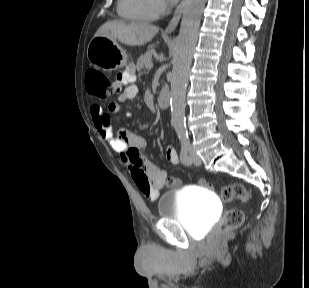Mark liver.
Returning a JSON list of instances; mask_svg holds the SVG:
<instances>
[{
    "label": "liver",
    "mask_w": 309,
    "mask_h": 288,
    "mask_svg": "<svg viewBox=\"0 0 309 288\" xmlns=\"http://www.w3.org/2000/svg\"><path fill=\"white\" fill-rule=\"evenodd\" d=\"M158 31L157 26L147 23L127 24L122 20H111L103 24L95 36H105L130 46H141L151 41Z\"/></svg>",
    "instance_id": "1"
}]
</instances>
